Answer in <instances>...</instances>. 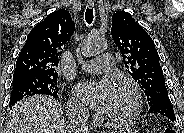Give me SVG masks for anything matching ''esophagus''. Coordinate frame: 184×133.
I'll use <instances>...</instances> for the list:
<instances>
[{
    "label": "esophagus",
    "mask_w": 184,
    "mask_h": 133,
    "mask_svg": "<svg viewBox=\"0 0 184 133\" xmlns=\"http://www.w3.org/2000/svg\"><path fill=\"white\" fill-rule=\"evenodd\" d=\"M87 5H88L89 7L93 6V1H92V0H88V1H87Z\"/></svg>",
    "instance_id": "1"
}]
</instances>
